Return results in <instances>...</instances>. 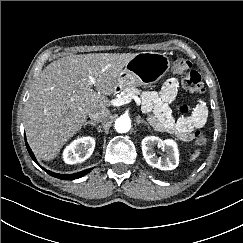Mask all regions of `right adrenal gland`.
I'll use <instances>...</instances> for the list:
<instances>
[{"mask_svg": "<svg viewBox=\"0 0 243 243\" xmlns=\"http://www.w3.org/2000/svg\"><path fill=\"white\" fill-rule=\"evenodd\" d=\"M87 125H91V126L95 127V126H97V123L94 122V121H88V122H86V123L84 124V128H85Z\"/></svg>", "mask_w": 243, "mask_h": 243, "instance_id": "1", "label": "right adrenal gland"}]
</instances>
